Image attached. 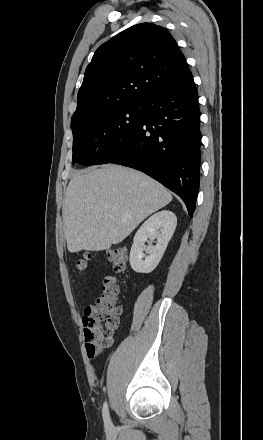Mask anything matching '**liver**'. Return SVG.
I'll return each mask as SVG.
<instances>
[{"label":"liver","mask_w":263,"mask_h":440,"mask_svg":"<svg viewBox=\"0 0 263 440\" xmlns=\"http://www.w3.org/2000/svg\"><path fill=\"white\" fill-rule=\"evenodd\" d=\"M171 201L167 189L134 169L107 165L77 171L63 208L67 248L71 253L109 249Z\"/></svg>","instance_id":"liver-1"}]
</instances>
